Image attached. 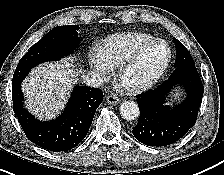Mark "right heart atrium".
Returning <instances> with one entry per match:
<instances>
[{"label": "right heart atrium", "instance_id": "d8ad5b80", "mask_svg": "<svg viewBox=\"0 0 224 175\" xmlns=\"http://www.w3.org/2000/svg\"><path fill=\"white\" fill-rule=\"evenodd\" d=\"M89 63L93 73L100 79L107 78L111 73L112 67L104 61L98 50L90 51Z\"/></svg>", "mask_w": 224, "mask_h": 175}]
</instances>
